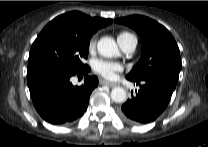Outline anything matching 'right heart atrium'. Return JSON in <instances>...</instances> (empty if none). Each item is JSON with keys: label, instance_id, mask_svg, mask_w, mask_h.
<instances>
[{"label": "right heart atrium", "instance_id": "1", "mask_svg": "<svg viewBox=\"0 0 208 147\" xmlns=\"http://www.w3.org/2000/svg\"><path fill=\"white\" fill-rule=\"evenodd\" d=\"M96 46V37H92L89 41V44H88V47H89V50H93Z\"/></svg>", "mask_w": 208, "mask_h": 147}]
</instances>
